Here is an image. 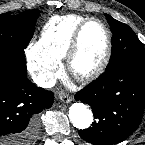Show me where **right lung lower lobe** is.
<instances>
[{
  "label": "right lung lower lobe",
  "mask_w": 145,
  "mask_h": 145,
  "mask_svg": "<svg viewBox=\"0 0 145 145\" xmlns=\"http://www.w3.org/2000/svg\"><path fill=\"white\" fill-rule=\"evenodd\" d=\"M53 101L52 92L27 79L24 49L0 50V145H30L37 114Z\"/></svg>",
  "instance_id": "right-lung-lower-lobe-1"
}]
</instances>
